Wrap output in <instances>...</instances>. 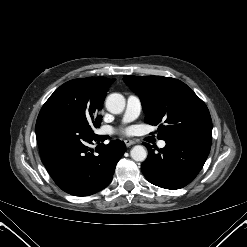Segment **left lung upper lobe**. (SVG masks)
<instances>
[{
    "label": "left lung upper lobe",
    "instance_id": "5c2ea615",
    "mask_svg": "<svg viewBox=\"0 0 247 247\" xmlns=\"http://www.w3.org/2000/svg\"><path fill=\"white\" fill-rule=\"evenodd\" d=\"M141 100L145 120L158 125V138L190 130H212V120L205 103L180 80L162 76L123 77Z\"/></svg>",
    "mask_w": 247,
    "mask_h": 247
}]
</instances>
